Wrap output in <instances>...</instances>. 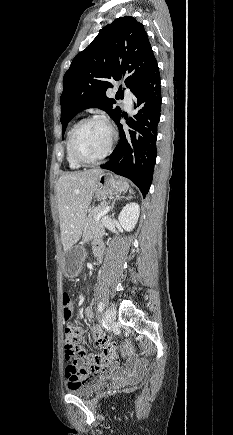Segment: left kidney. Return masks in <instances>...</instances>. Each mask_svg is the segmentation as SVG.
I'll list each match as a JSON object with an SVG mask.
<instances>
[{"label": "left kidney", "mask_w": 233, "mask_h": 435, "mask_svg": "<svg viewBox=\"0 0 233 435\" xmlns=\"http://www.w3.org/2000/svg\"><path fill=\"white\" fill-rule=\"evenodd\" d=\"M140 214V207L137 203L131 202L126 204L118 216L121 226L126 231H131L135 228Z\"/></svg>", "instance_id": "left-kidney-1"}]
</instances>
